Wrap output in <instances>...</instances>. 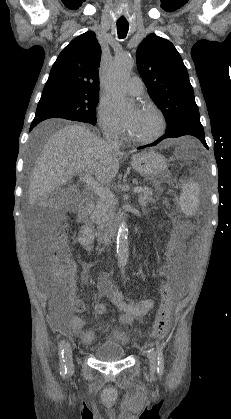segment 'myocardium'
Returning <instances> with one entry per match:
<instances>
[{"mask_svg": "<svg viewBox=\"0 0 231 419\" xmlns=\"http://www.w3.org/2000/svg\"><path fill=\"white\" fill-rule=\"evenodd\" d=\"M142 109L143 110H149L157 116L158 121H159L158 131L155 134H153L149 137H145V138L136 137V136L132 135L130 133V131H128L127 135H128V138L135 143L150 144V143L156 141L157 139H159L163 135V133L165 132V129H166V121H165V117H164L163 113L156 106H154L152 104H144V105H142Z\"/></svg>", "mask_w": 231, "mask_h": 419, "instance_id": "f54148a6", "label": "myocardium"}]
</instances>
